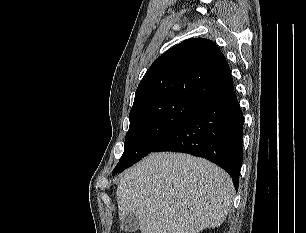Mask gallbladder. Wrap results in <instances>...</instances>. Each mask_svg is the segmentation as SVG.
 I'll return each instance as SVG.
<instances>
[{
  "label": "gallbladder",
  "mask_w": 306,
  "mask_h": 233,
  "mask_svg": "<svg viewBox=\"0 0 306 233\" xmlns=\"http://www.w3.org/2000/svg\"><path fill=\"white\" fill-rule=\"evenodd\" d=\"M121 229L125 232L134 233L139 229V218L135 213H129L121 219Z\"/></svg>",
  "instance_id": "obj_1"
}]
</instances>
